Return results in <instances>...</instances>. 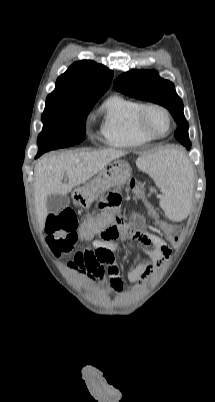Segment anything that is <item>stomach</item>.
<instances>
[{
    "label": "stomach",
    "mask_w": 215,
    "mask_h": 402,
    "mask_svg": "<svg viewBox=\"0 0 215 402\" xmlns=\"http://www.w3.org/2000/svg\"><path fill=\"white\" fill-rule=\"evenodd\" d=\"M132 174L129 163L117 160L100 171L88 184L77 188L72 193L74 203L81 208H89L91 204L103 193L112 187L126 184Z\"/></svg>",
    "instance_id": "0dacf381"
}]
</instances>
